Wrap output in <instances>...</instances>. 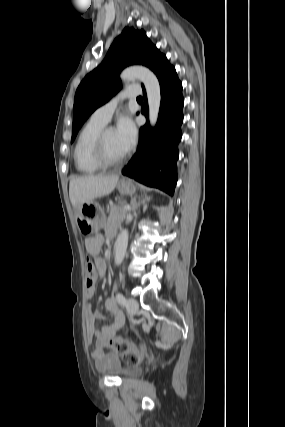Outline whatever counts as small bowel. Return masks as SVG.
I'll use <instances>...</instances> for the list:
<instances>
[{"mask_svg": "<svg viewBox=\"0 0 285 427\" xmlns=\"http://www.w3.org/2000/svg\"><path fill=\"white\" fill-rule=\"evenodd\" d=\"M104 238L101 234H96L86 240L85 245L87 252L96 259L97 271L100 277L105 273V264L99 258V253L103 245ZM96 295V288L94 286L88 287L86 290V297L88 299L94 298ZM106 309L111 313L113 320L109 325L103 326L100 330H95L94 322L103 317V315L95 311L92 307H88V320L87 331L88 334L95 339L96 348L91 351V358L95 362L99 370H106L112 364L117 363L118 359L115 355L105 353V349L109 348L110 341L115 338L124 328L125 316L122 310L116 303L113 297L105 301Z\"/></svg>", "mask_w": 285, "mask_h": 427, "instance_id": "c3829d8e", "label": "small bowel"}]
</instances>
